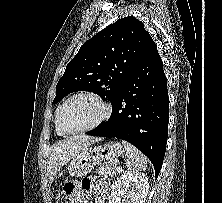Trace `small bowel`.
Instances as JSON below:
<instances>
[{
    "label": "small bowel",
    "instance_id": "1",
    "mask_svg": "<svg viewBox=\"0 0 222 203\" xmlns=\"http://www.w3.org/2000/svg\"><path fill=\"white\" fill-rule=\"evenodd\" d=\"M108 188V184H100L97 180H84L81 183L74 185L72 203H83L85 200V195L91 193L96 194L98 203H103Z\"/></svg>",
    "mask_w": 222,
    "mask_h": 203
}]
</instances>
